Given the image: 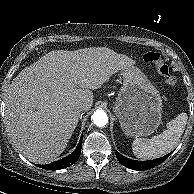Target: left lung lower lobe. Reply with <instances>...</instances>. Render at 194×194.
Returning <instances> with one entry per match:
<instances>
[{
	"instance_id": "obj_1",
	"label": "left lung lower lobe",
	"mask_w": 194,
	"mask_h": 194,
	"mask_svg": "<svg viewBox=\"0 0 194 194\" xmlns=\"http://www.w3.org/2000/svg\"><path fill=\"white\" fill-rule=\"evenodd\" d=\"M170 154H167L163 157L154 159V160H148V161H137V160H132L129 159L127 157H124L123 155H121L119 152L116 151V156L119 160V162L125 166L128 167L130 169L133 170H138V171H142V170H147L150 168H153L159 164H161L163 161H165V159L168 158Z\"/></svg>"
}]
</instances>
